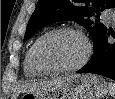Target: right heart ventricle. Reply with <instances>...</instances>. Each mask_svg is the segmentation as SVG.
I'll list each match as a JSON object with an SVG mask.
<instances>
[{
  "label": "right heart ventricle",
  "instance_id": "right-heart-ventricle-1",
  "mask_svg": "<svg viewBox=\"0 0 115 99\" xmlns=\"http://www.w3.org/2000/svg\"><path fill=\"white\" fill-rule=\"evenodd\" d=\"M34 45V44H33ZM33 45L27 50L25 59H24V73L28 78H38L42 76V73L35 65L33 60Z\"/></svg>",
  "mask_w": 115,
  "mask_h": 99
}]
</instances>
